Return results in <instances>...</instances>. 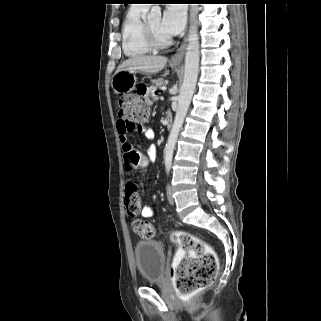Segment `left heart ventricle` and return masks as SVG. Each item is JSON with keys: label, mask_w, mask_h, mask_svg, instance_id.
I'll return each mask as SVG.
<instances>
[{"label": "left heart ventricle", "mask_w": 321, "mask_h": 321, "mask_svg": "<svg viewBox=\"0 0 321 321\" xmlns=\"http://www.w3.org/2000/svg\"><path fill=\"white\" fill-rule=\"evenodd\" d=\"M160 16H154L151 17L147 20L149 26L151 27L153 33L155 34V36L160 39V40H165L167 38H169L170 36H168L166 33H164L161 28H160Z\"/></svg>", "instance_id": "b2bd125f"}]
</instances>
